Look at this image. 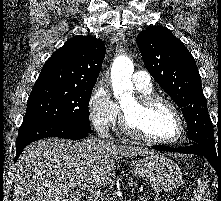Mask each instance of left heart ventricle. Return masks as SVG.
Returning <instances> with one entry per match:
<instances>
[{"label": "left heart ventricle", "mask_w": 221, "mask_h": 201, "mask_svg": "<svg viewBox=\"0 0 221 201\" xmlns=\"http://www.w3.org/2000/svg\"><path fill=\"white\" fill-rule=\"evenodd\" d=\"M131 122L143 134L157 139H172L179 133V122L173 111L163 103L140 110L136 99L123 104Z\"/></svg>", "instance_id": "b2bd125f"}]
</instances>
